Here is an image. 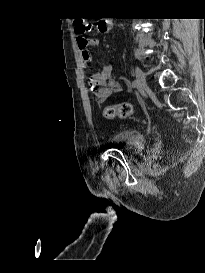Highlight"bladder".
Segmentation results:
<instances>
[{"label": "bladder", "instance_id": "obj_1", "mask_svg": "<svg viewBox=\"0 0 205 273\" xmlns=\"http://www.w3.org/2000/svg\"><path fill=\"white\" fill-rule=\"evenodd\" d=\"M108 140L120 147L141 152L146 148V137L137 129H124L108 137Z\"/></svg>", "mask_w": 205, "mask_h": 273}]
</instances>
